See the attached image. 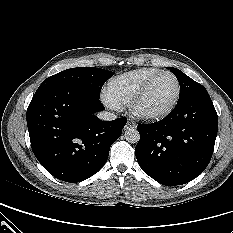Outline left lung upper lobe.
<instances>
[{
    "label": "left lung upper lobe",
    "mask_w": 233,
    "mask_h": 233,
    "mask_svg": "<svg viewBox=\"0 0 233 233\" xmlns=\"http://www.w3.org/2000/svg\"><path fill=\"white\" fill-rule=\"evenodd\" d=\"M170 71L176 76L180 84V96L178 101H182L196 92L206 90L201 84L195 82L182 71L173 67H170Z\"/></svg>",
    "instance_id": "obj_1"
}]
</instances>
